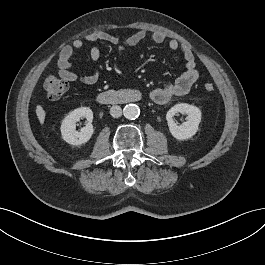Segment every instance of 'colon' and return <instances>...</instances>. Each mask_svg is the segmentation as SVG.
I'll return each mask as SVG.
<instances>
[{
    "instance_id": "1",
    "label": "colon",
    "mask_w": 265,
    "mask_h": 265,
    "mask_svg": "<svg viewBox=\"0 0 265 265\" xmlns=\"http://www.w3.org/2000/svg\"><path fill=\"white\" fill-rule=\"evenodd\" d=\"M202 89L206 93H212L215 86L212 82L206 81L202 84ZM44 90L49 100H58L66 93L67 84L55 76H48L44 81Z\"/></svg>"
}]
</instances>
